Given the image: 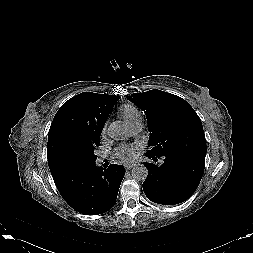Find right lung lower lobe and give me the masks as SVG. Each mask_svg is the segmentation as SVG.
<instances>
[{
    "label": "right lung lower lobe",
    "mask_w": 253,
    "mask_h": 253,
    "mask_svg": "<svg viewBox=\"0 0 253 253\" xmlns=\"http://www.w3.org/2000/svg\"><path fill=\"white\" fill-rule=\"evenodd\" d=\"M124 175L121 165L111 164L103 169L92 163L53 176V179L61 196L73 209L85 215H98L115 205Z\"/></svg>",
    "instance_id": "right-lung-lower-lobe-1"
}]
</instances>
